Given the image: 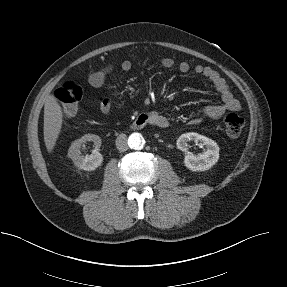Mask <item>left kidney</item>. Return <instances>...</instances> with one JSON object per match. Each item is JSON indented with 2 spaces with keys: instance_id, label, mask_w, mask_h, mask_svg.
I'll return each mask as SVG.
<instances>
[{
  "instance_id": "obj_1",
  "label": "left kidney",
  "mask_w": 287,
  "mask_h": 287,
  "mask_svg": "<svg viewBox=\"0 0 287 287\" xmlns=\"http://www.w3.org/2000/svg\"><path fill=\"white\" fill-rule=\"evenodd\" d=\"M189 141H194L196 144L204 146L206 150L197 155L192 154L188 151ZM176 144L178 149L185 152V166L193 172L209 170L219 159V147L217 143L198 133L190 132L182 134Z\"/></svg>"
}]
</instances>
